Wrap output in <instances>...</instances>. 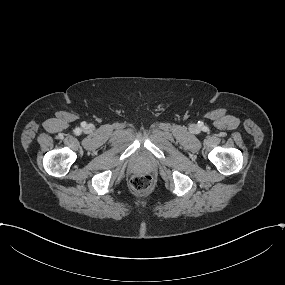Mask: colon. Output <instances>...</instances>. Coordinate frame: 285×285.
Here are the masks:
<instances>
[{
  "label": "colon",
  "mask_w": 285,
  "mask_h": 285,
  "mask_svg": "<svg viewBox=\"0 0 285 285\" xmlns=\"http://www.w3.org/2000/svg\"><path fill=\"white\" fill-rule=\"evenodd\" d=\"M130 185L135 191L147 192L153 187L154 178L149 173H138L131 178Z\"/></svg>",
  "instance_id": "5ec220e1"
}]
</instances>
